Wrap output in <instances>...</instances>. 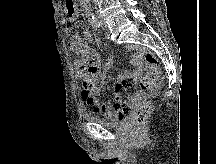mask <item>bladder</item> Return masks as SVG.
<instances>
[{
  "mask_svg": "<svg viewBox=\"0 0 216 164\" xmlns=\"http://www.w3.org/2000/svg\"><path fill=\"white\" fill-rule=\"evenodd\" d=\"M92 120L99 123L100 125L108 126V127H121L125 124V119L123 118L116 121H109L99 117H92Z\"/></svg>",
  "mask_w": 216,
  "mask_h": 164,
  "instance_id": "obj_1",
  "label": "bladder"
}]
</instances>
